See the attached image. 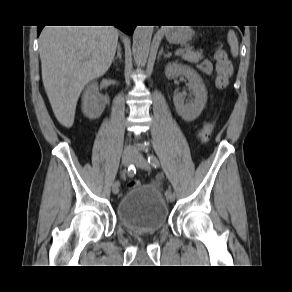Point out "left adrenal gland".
<instances>
[{
    "mask_svg": "<svg viewBox=\"0 0 292 292\" xmlns=\"http://www.w3.org/2000/svg\"><path fill=\"white\" fill-rule=\"evenodd\" d=\"M162 55H163L165 58H166V57H169V55H167V54L164 53V51H163V47H161V49H160V51H159L158 59H159Z\"/></svg>",
    "mask_w": 292,
    "mask_h": 292,
    "instance_id": "left-adrenal-gland-1",
    "label": "left adrenal gland"
}]
</instances>
